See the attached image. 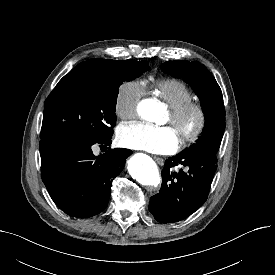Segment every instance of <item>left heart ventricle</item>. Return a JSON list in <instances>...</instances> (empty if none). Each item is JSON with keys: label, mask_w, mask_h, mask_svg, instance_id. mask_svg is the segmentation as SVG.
<instances>
[{"label": "left heart ventricle", "mask_w": 275, "mask_h": 275, "mask_svg": "<svg viewBox=\"0 0 275 275\" xmlns=\"http://www.w3.org/2000/svg\"><path fill=\"white\" fill-rule=\"evenodd\" d=\"M195 122H196V119H195L194 116H192V117H190L189 119H187V120L181 125V127L176 128V127L172 126V127H173V130L175 131V133H176V135H177V137H178V139H180L181 135H182L184 132L190 130V129L195 125ZM166 123L171 124V123H170V115H168L167 120H166Z\"/></svg>", "instance_id": "obj_1"}]
</instances>
